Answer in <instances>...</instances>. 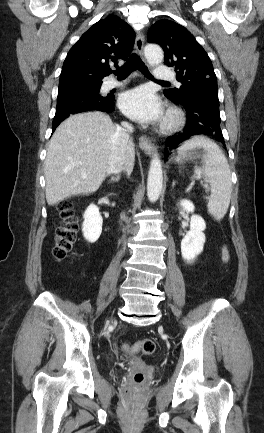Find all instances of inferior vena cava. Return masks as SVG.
<instances>
[{
    "mask_svg": "<svg viewBox=\"0 0 264 433\" xmlns=\"http://www.w3.org/2000/svg\"><path fill=\"white\" fill-rule=\"evenodd\" d=\"M133 126L128 122H122L116 127L115 139L116 150L112 156V161L108 169V174L119 173L125 168L126 153L130 143V133L133 132Z\"/></svg>",
    "mask_w": 264,
    "mask_h": 433,
    "instance_id": "obj_1",
    "label": "inferior vena cava"
}]
</instances>
